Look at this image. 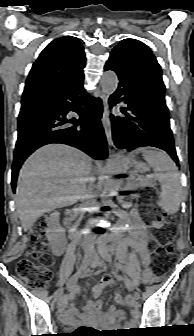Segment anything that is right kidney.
Here are the masks:
<instances>
[{"instance_id":"obj_1","label":"right kidney","mask_w":194,"mask_h":336,"mask_svg":"<svg viewBox=\"0 0 194 336\" xmlns=\"http://www.w3.org/2000/svg\"><path fill=\"white\" fill-rule=\"evenodd\" d=\"M62 228L59 224V213L54 212L50 215L49 221L47 224L46 237L51 246L52 252L58 254L60 246V234Z\"/></svg>"}]
</instances>
